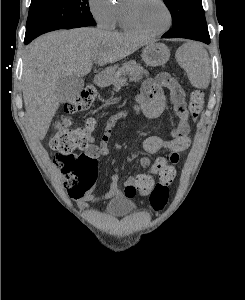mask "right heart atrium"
I'll list each match as a JSON object with an SVG mask.
<instances>
[{"mask_svg": "<svg viewBox=\"0 0 245 300\" xmlns=\"http://www.w3.org/2000/svg\"><path fill=\"white\" fill-rule=\"evenodd\" d=\"M88 8L98 26L105 29L114 26L116 5L112 0H88Z\"/></svg>", "mask_w": 245, "mask_h": 300, "instance_id": "1", "label": "right heart atrium"}]
</instances>
